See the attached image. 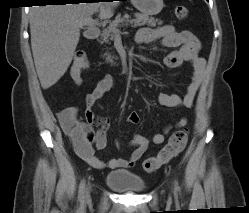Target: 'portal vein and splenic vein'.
Masks as SVG:
<instances>
[{"mask_svg":"<svg viewBox=\"0 0 249 213\" xmlns=\"http://www.w3.org/2000/svg\"><path fill=\"white\" fill-rule=\"evenodd\" d=\"M99 22L96 21V20H93L91 17H87L85 20H84V25H87V26H96L98 25ZM118 32V30H117ZM119 33V32H118ZM117 34V33H116Z\"/></svg>","mask_w":249,"mask_h":213,"instance_id":"obj_1","label":"portal vein and splenic vein"}]
</instances>
